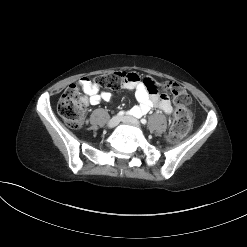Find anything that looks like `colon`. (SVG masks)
I'll return each mask as SVG.
<instances>
[{"instance_id":"5ec220e1","label":"colon","mask_w":247,"mask_h":247,"mask_svg":"<svg viewBox=\"0 0 247 247\" xmlns=\"http://www.w3.org/2000/svg\"><path fill=\"white\" fill-rule=\"evenodd\" d=\"M127 72H113L98 76L94 84L107 89H119L128 78ZM78 84L70 85L62 94L57 105V111L66 125L73 129L80 128L84 123L86 99L81 95ZM162 88L173 95L177 106L168 139L170 142L181 140L189 131L191 116L187 108L191 101L188 92L178 83L166 81Z\"/></svg>"}]
</instances>
